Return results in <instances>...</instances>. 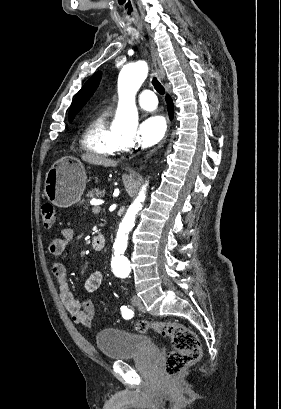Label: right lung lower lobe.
<instances>
[{"label": "right lung lower lobe", "mask_w": 281, "mask_h": 409, "mask_svg": "<svg viewBox=\"0 0 281 409\" xmlns=\"http://www.w3.org/2000/svg\"><path fill=\"white\" fill-rule=\"evenodd\" d=\"M166 102H167V106H168V111H169V115L170 118L173 117V112H174V108H173V102L172 99L169 95L166 96Z\"/></svg>", "instance_id": "98d812e1"}]
</instances>
